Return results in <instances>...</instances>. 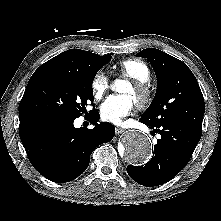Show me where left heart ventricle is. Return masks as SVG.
<instances>
[{"instance_id":"left-heart-ventricle-1","label":"left heart ventricle","mask_w":221,"mask_h":221,"mask_svg":"<svg viewBox=\"0 0 221 221\" xmlns=\"http://www.w3.org/2000/svg\"><path fill=\"white\" fill-rule=\"evenodd\" d=\"M122 94L128 95L134 101L136 98V92L134 91L132 85L128 84L124 86L121 90Z\"/></svg>"}]
</instances>
